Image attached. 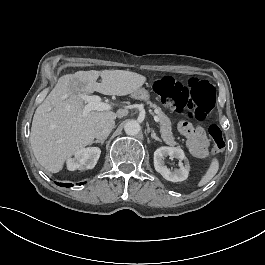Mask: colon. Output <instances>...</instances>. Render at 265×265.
Instances as JSON below:
<instances>
[{
	"instance_id": "1",
	"label": "colon",
	"mask_w": 265,
	"mask_h": 265,
	"mask_svg": "<svg viewBox=\"0 0 265 265\" xmlns=\"http://www.w3.org/2000/svg\"><path fill=\"white\" fill-rule=\"evenodd\" d=\"M152 89L169 110L199 121L208 116L217 97L216 87L208 81L199 80L193 84H184L169 74L157 78ZM208 134L212 151L217 154L223 152L226 143L220 126L209 125Z\"/></svg>"
}]
</instances>
